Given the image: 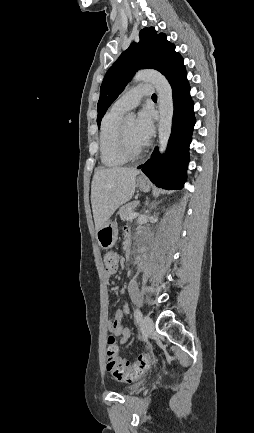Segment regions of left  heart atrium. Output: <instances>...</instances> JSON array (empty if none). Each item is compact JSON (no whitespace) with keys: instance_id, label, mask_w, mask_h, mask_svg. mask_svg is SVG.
<instances>
[{"instance_id":"1","label":"left heart atrium","mask_w":254,"mask_h":433,"mask_svg":"<svg viewBox=\"0 0 254 433\" xmlns=\"http://www.w3.org/2000/svg\"><path fill=\"white\" fill-rule=\"evenodd\" d=\"M154 132L152 114L149 110L144 109L138 113L135 122V134L137 138L146 144Z\"/></svg>"}]
</instances>
